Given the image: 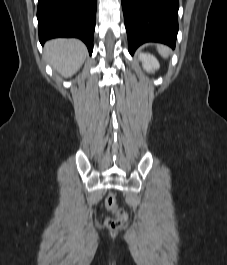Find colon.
I'll return each mask as SVG.
<instances>
[{"label": "colon", "instance_id": "colon-1", "mask_svg": "<svg viewBox=\"0 0 227 265\" xmlns=\"http://www.w3.org/2000/svg\"><path fill=\"white\" fill-rule=\"evenodd\" d=\"M106 206L113 217L106 219L105 225L108 229H118L127 221L126 212L120 208L116 202V196L114 193H109L106 198Z\"/></svg>", "mask_w": 227, "mask_h": 265}]
</instances>
